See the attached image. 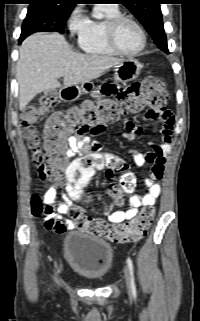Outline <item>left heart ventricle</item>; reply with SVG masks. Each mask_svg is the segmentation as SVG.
<instances>
[{"label": "left heart ventricle", "mask_w": 200, "mask_h": 321, "mask_svg": "<svg viewBox=\"0 0 200 321\" xmlns=\"http://www.w3.org/2000/svg\"><path fill=\"white\" fill-rule=\"evenodd\" d=\"M116 36L118 45L127 52L136 51L141 46V35L136 26L129 21L120 24Z\"/></svg>", "instance_id": "1"}]
</instances>
